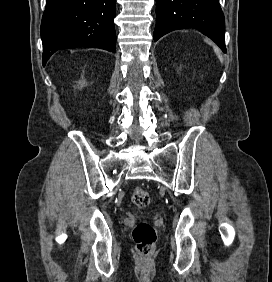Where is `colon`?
<instances>
[{"label":"colon","instance_id":"5ec220e1","mask_svg":"<svg viewBox=\"0 0 272 282\" xmlns=\"http://www.w3.org/2000/svg\"><path fill=\"white\" fill-rule=\"evenodd\" d=\"M132 201L139 208L146 207L149 203L148 193L142 187H136L133 191ZM132 237L140 255L146 259L150 258L156 242V231L152 225L144 221L137 223L132 231Z\"/></svg>","mask_w":272,"mask_h":282}]
</instances>
